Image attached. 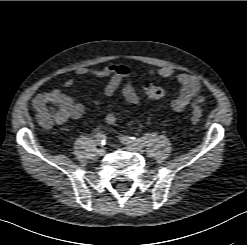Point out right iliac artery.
I'll list each match as a JSON object with an SVG mask.
<instances>
[{"mask_svg": "<svg viewBox=\"0 0 247 245\" xmlns=\"http://www.w3.org/2000/svg\"><path fill=\"white\" fill-rule=\"evenodd\" d=\"M96 141L99 145H104L106 141V136L102 132H99L95 135Z\"/></svg>", "mask_w": 247, "mask_h": 245, "instance_id": "1", "label": "right iliac artery"}]
</instances>
